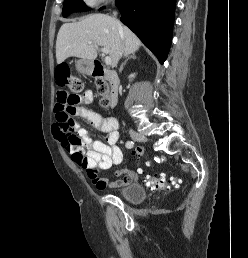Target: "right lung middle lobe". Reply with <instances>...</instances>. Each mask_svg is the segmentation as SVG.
<instances>
[{"label":"right lung middle lobe","mask_w":248,"mask_h":258,"mask_svg":"<svg viewBox=\"0 0 248 258\" xmlns=\"http://www.w3.org/2000/svg\"><path fill=\"white\" fill-rule=\"evenodd\" d=\"M87 10L83 0H64L62 14L63 17H67L73 12H82Z\"/></svg>","instance_id":"dd1d6c3e"}]
</instances>
